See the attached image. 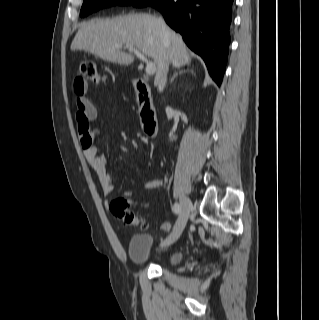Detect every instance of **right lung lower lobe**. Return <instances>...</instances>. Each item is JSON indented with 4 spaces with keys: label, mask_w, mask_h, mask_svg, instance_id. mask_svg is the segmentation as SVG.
<instances>
[{
    "label": "right lung lower lobe",
    "mask_w": 319,
    "mask_h": 320,
    "mask_svg": "<svg viewBox=\"0 0 319 320\" xmlns=\"http://www.w3.org/2000/svg\"><path fill=\"white\" fill-rule=\"evenodd\" d=\"M233 0H153L167 24L181 33L186 44L205 61L220 85L230 43Z\"/></svg>",
    "instance_id": "right-lung-lower-lobe-1"
}]
</instances>
